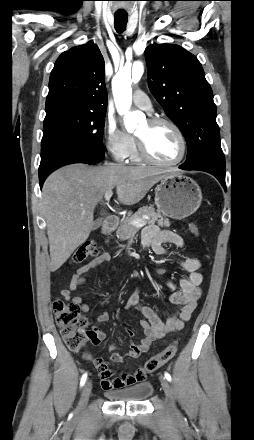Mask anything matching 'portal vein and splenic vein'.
Returning a JSON list of instances; mask_svg holds the SVG:
<instances>
[{
    "label": "portal vein and splenic vein",
    "instance_id": "1",
    "mask_svg": "<svg viewBox=\"0 0 254 440\" xmlns=\"http://www.w3.org/2000/svg\"><path fill=\"white\" fill-rule=\"evenodd\" d=\"M112 195H113L112 191L106 192L105 195H104L105 200L109 201L110 198L112 197ZM130 224L133 225V226H136V227H143V226L146 225V223L143 220H141V219L132 220L130 222Z\"/></svg>",
    "mask_w": 254,
    "mask_h": 440
}]
</instances>
